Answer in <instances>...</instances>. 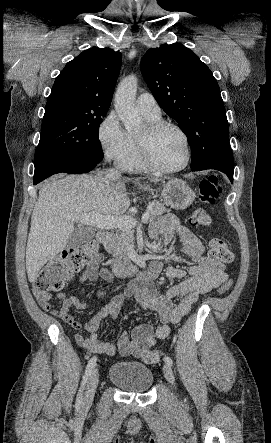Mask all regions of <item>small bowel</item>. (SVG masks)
Segmentation results:
<instances>
[{
    "mask_svg": "<svg viewBox=\"0 0 271 443\" xmlns=\"http://www.w3.org/2000/svg\"><path fill=\"white\" fill-rule=\"evenodd\" d=\"M152 236H160L165 244L171 243L176 237L182 243L181 252L192 261L188 270L169 266L166 278L179 282L170 286L164 293H160L152 284V279L159 273L161 264L153 262L147 274L139 277L125 290L111 298L96 314L83 325L85 334L75 335L76 343L82 348L98 354L113 356L117 352L123 356L141 357L155 345L157 340L169 336L171 326L178 323L189 313L198 297L219 287L227 280L224 263L206 256L205 247L200 239L186 226L182 225L174 215H166L153 229ZM112 281L107 268L98 269L97 263H91L81 276L82 282ZM106 290L98 292L104 297ZM127 296H134L139 307L146 312H155L159 324H140L133 328L131 334L121 333L116 342L102 341L98 336L101 321L110 317L115 319L120 307ZM62 301L59 309H54L50 303V295L38 297V303L47 312L61 319L74 330L79 331L82 325L70 314V309L84 310L89 305L76 296H66L63 292L57 293Z\"/></svg>",
    "mask_w": 271,
    "mask_h": 443,
    "instance_id": "c3829d8e",
    "label": "small bowel"
}]
</instances>
